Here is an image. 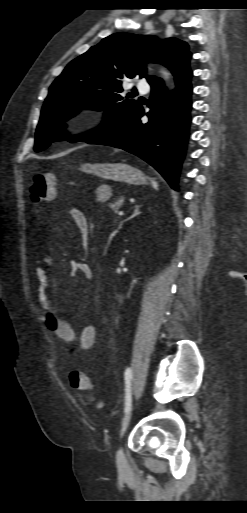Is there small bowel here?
<instances>
[{
    "instance_id": "small-bowel-1",
    "label": "small bowel",
    "mask_w": 247,
    "mask_h": 513,
    "mask_svg": "<svg viewBox=\"0 0 247 513\" xmlns=\"http://www.w3.org/2000/svg\"><path fill=\"white\" fill-rule=\"evenodd\" d=\"M69 217L77 227L83 239H87L89 225L85 215L76 208L69 211ZM71 272L82 276L85 280L92 278L90 267L80 260H73L70 264ZM35 287L33 294L41 305L46 327L51 330L67 346H71L79 353L89 351L96 341V330L88 324L83 323L76 329L73 324L62 318V311L52 302L51 295L56 293L58 288L51 280L48 272L42 267L32 269Z\"/></svg>"
}]
</instances>
